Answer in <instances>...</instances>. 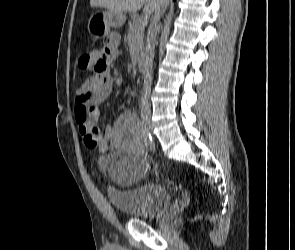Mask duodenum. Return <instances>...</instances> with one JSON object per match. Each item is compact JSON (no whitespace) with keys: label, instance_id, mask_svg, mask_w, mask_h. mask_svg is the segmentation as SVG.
<instances>
[{"label":"duodenum","instance_id":"obj_1","mask_svg":"<svg viewBox=\"0 0 295 250\" xmlns=\"http://www.w3.org/2000/svg\"><path fill=\"white\" fill-rule=\"evenodd\" d=\"M137 68L140 73H144L147 69L146 58L142 53L137 57Z\"/></svg>","mask_w":295,"mask_h":250}]
</instances>
